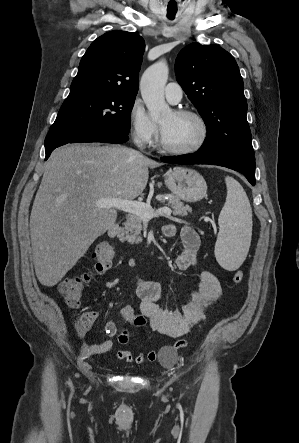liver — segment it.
<instances>
[{
    "mask_svg": "<svg viewBox=\"0 0 299 443\" xmlns=\"http://www.w3.org/2000/svg\"><path fill=\"white\" fill-rule=\"evenodd\" d=\"M159 163L116 145L71 144L54 150L35 196L30 235L39 282L56 285L117 219L101 198L133 200L144 191L148 168Z\"/></svg>",
    "mask_w": 299,
    "mask_h": 443,
    "instance_id": "1",
    "label": "liver"
}]
</instances>
